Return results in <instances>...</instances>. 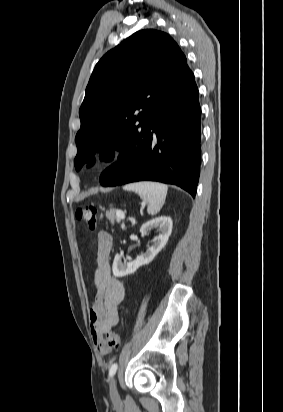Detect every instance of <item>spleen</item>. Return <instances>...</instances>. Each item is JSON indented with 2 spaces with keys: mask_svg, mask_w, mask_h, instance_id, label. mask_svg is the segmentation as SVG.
<instances>
[{
  "mask_svg": "<svg viewBox=\"0 0 283 412\" xmlns=\"http://www.w3.org/2000/svg\"><path fill=\"white\" fill-rule=\"evenodd\" d=\"M123 189L136 192L143 201L147 202V212L149 215L159 213L164 205L168 191L166 185L149 181L130 183L125 185Z\"/></svg>",
  "mask_w": 283,
  "mask_h": 412,
  "instance_id": "obj_1",
  "label": "spleen"
}]
</instances>
